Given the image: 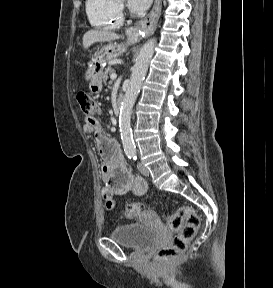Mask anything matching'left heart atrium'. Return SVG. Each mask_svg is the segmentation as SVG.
I'll return each instance as SVG.
<instances>
[{
	"label": "left heart atrium",
	"instance_id": "obj_1",
	"mask_svg": "<svg viewBox=\"0 0 273 288\" xmlns=\"http://www.w3.org/2000/svg\"><path fill=\"white\" fill-rule=\"evenodd\" d=\"M152 0H128L129 7L135 12H142L146 10Z\"/></svg>",
	"mask_w": 273,
	"mask_h": 288
}]
</instances>
